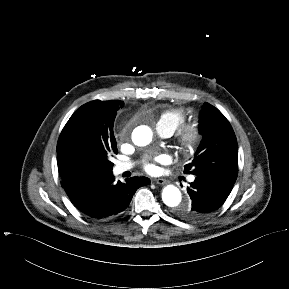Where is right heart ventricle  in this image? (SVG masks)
I'll return each instance as SVG.
<instances>
[{
  "mask_svg": "<svg viewBox=\"0 0 289 289\" xmlns=\"http://www.w3.org/2000/svg\"><path fill=\"white\" fill-rule=\"evenodd\" d=\"M186 119L187 113L183 108H169L160 114L157 124L173 133L185 123Z\"/></svg>",
  "mask_w": 289,
  "mask_h": 289,
  "instance_id": "obj_1",
  "label": "right heart ventricle"
}]
</instances>
